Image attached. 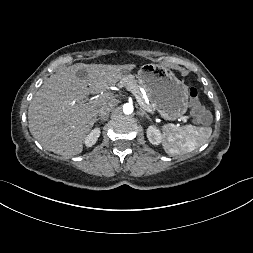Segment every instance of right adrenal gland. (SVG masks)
Listing matches in <instances>:
<instances>
[{"mask_svg": "<svg viewBox=\"0 0 253 253\" xmlns=\"http://www.w3.org/2000/svg\"><path fill=\"white\" fill-rule=\"evenodd\" d=\"M108 119V116H105V117H98L97 119H96V122L97 121H99V120H102V121H106Z\"/></svg>", "mask_w": 253, "mask_h": 253, "instance_id": "2a0ac1e0", "label": "right adrenal gland"}]
</instances>
